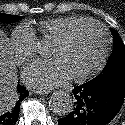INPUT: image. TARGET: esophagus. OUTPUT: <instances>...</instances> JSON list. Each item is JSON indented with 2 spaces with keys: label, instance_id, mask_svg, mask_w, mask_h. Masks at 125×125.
<instances>
[{
  "label": "esophagus",
  "instance_id": "34e87169",
  "mask_svg": "<svg viewBox=\"0 0 125 125\" xmlns=\"http://www.w3.org/2000/svg\"><path fill=\"white\" fill-rule=\"evenodd\" d=\"M36 93L40 94V95H47V94L50 93V91H48V90H44V91L37 90Z\"/></svg>",
  "mask_w": 125,
  "mask_h": 125
}]
</instances>
